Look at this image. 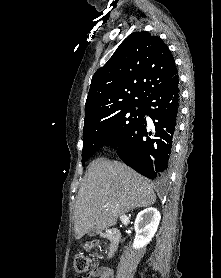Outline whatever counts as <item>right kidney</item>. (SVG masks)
I'll list each match as a JSON object with an SVG mask.
<instances>
[{"mask_svg": "<svg viewBox=\"0 0 221 278\" xmlns=\"http://www.w3.org/2000/svg\"><path fill=\"white\" fill-rule=\"evenodd\" d=\"M161 215L156 208H146L138 213L135 220L136 236L133 243L134 249H140L146 246L155 235Z\"/></svg>", "mask_w": 221, "mask_h": 278, "instance_id": "1", "label": "right kidney"}]
</instances>
